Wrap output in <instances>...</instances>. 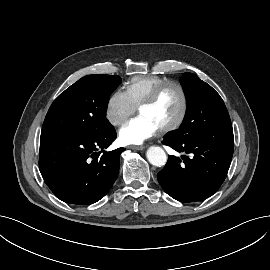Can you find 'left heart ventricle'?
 I'll return each mask as SVG.
<instances>
[{
	"mask_svg": "<svg viewBox=\"0 0 270 270\" xmlns=\"http://www.w3.org/2000/svg\"><path fill=\"white\" fill-rule=\"evenodd\" d=\"M181 111V96L175 86H168L160 94L156 102L148 107H143L140 115L150 118L159 129L172 124Z\"/></svg>",
	"mask_w": 270,
	"mask_h": 270,
	"instance_id": "left-heart-ventricle-1",
	"label": "left heart ventricle"
}]
</instances>
